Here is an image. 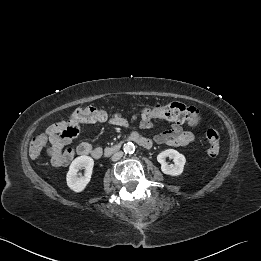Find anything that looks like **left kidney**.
<instances>
[{
	"label": "left kidney",
	"mask_w": 261,
	"mask_h": 261,
	"mask_svg": "<svg viewBox=\"0 0 261 261\" xmlns=\"http://www.w3.org/2000/svg\"><path fill=\"white\" fill-rule=\"evenodd\" d=\"M166 157L173 159L174 165H168L165 161ZM157 161L161 164V170L164 174L178 176L183 172L186 158L174 149H167L158 154Z\"/></svg>",
	"instance_id": "5707ae66"
}]
</instances>
